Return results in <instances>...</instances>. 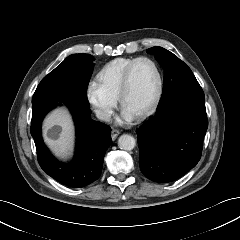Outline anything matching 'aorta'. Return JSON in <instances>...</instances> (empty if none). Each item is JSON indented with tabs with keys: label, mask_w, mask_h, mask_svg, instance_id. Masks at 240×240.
Here are the masks:
<instances>
[{
	"label": "aorta",
	"mask_w": 240,
	"mask_h": 240,
	"mask_svg": "<svg viewBox=\"0 0 240 240\" xmlns=\"http://www.w3.org/2000/svg\"><path fill=\"white\" fill-rule=\"evenodd\" d=\"M136 141L133 136L128 134H123L118 139V146L120 149L125 151H130L134 149Z\"/></svg>",
	"instance_id": "762f6f07"
}]
</instances>
